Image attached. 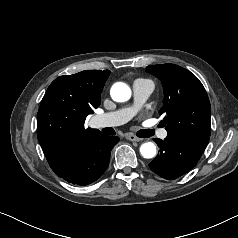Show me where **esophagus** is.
Here are the masks:
<instances>
[{
    "label": "esophagus",
    "instance_id": "34e87169",
    "mask_svg": "<svg viewBox=\"0 0 238 238\" xmlns=\"http://www.w3.org/2000/svg\"><path fill=\"white\" fill-rule=\"evenodd\" d=\"M127 140L133 141V142H139L141 141L140 138H138L137 136L133 135V134H126L125 135Z\"/></svg>",
    "mask_w": 238,
    "mask_h": 238
}]
</instances>
